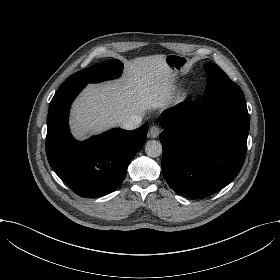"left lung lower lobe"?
<instances>
[{
    "label": "left lung lower lobe",
    "mask_w": 280,
    "mask_h": 280,
    "mask_svg": "<svg viewBox=\"0 0 280 280\" xmlns=\"http://www.w3.org/2000/svg\"><path fill=\"white\" fill-rule=\"evenodd\" d=\"M162 172L180 195L200 199L228 185L246 156L249 114L237 85L160 115Z\"/></svg>",
    "instance_id": "1"
}]
</instances>
